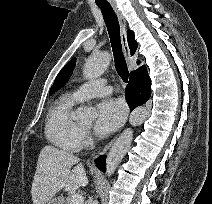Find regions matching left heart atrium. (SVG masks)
<instances>
[{
	"label": "left heart atrium",
	"instance_id": "1",
	"mask_svg": "<svg viewBox=\"0 0 212 204\" xmlns=\"http://www.w3.org/2000/svg\"><path fill=\"white\" fill-rule=\"evenodd\" d=\"M126 108L122 101L106 99L98 104L97 119L94 125L99 135H108L114 132L124 121Z\"/></svg>",
	"mask_w": 212,
	"mask_h": 204
}]
</instances>
